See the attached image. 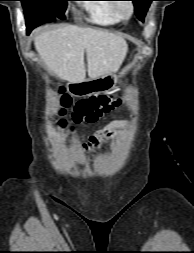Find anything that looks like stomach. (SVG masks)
<instances>
[{
  "label": "stomach",
  "mask_w": 194,
  "mask_h": 253,
  "mask_svg": "<svg viewBox=\"0 0 194 253\" xmlns=\"http://www.w3.org/2000/svg\"><path fill=\"white\" fill-rule=\"evenodd\" d=\"M116 82V74L115 72H112L101 77L71 83L69 85V90L73 95L78 97L89 96L95 93L98 94L110 91L115 87Z\"/></svg>",
  "instance_id": "stomach-1"
}]
</instances>
